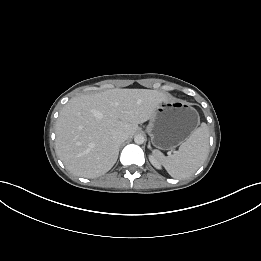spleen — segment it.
Returning <instances> with one entry per match:
<instances>
[{
  "label": "spleen",
  "instance_id": "1",
  "mask_svg": "<svg viewBox=\"0 0 261 261\" xmlns=\"http://www.w3.org/2000/svg\"><path fill=\"white\" fill-rule=\"evenodd\" d=\"M208 139L207 127L203 123L174 154L164 156L158 150H154L153 154L170 176L178 179L186 178L193 175L206 160L209 152Z\"/></svg>",
  "mask_w": 261,
  "mask_h": 261
}]
</instances>
